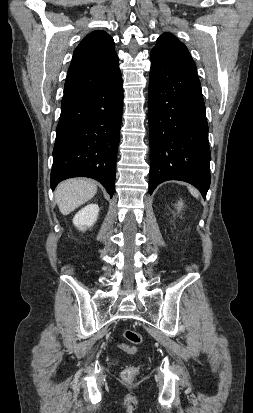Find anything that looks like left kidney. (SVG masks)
<instances>
[{
  "label": "left kidney",
  "instance_id": "left-kidney-1",
  "mask_svg": "<svg viewBox=\"0 0 253 413\" xmlns=\"http://www.w3.org/2000/svg\"><path fill=\"white\" fill-rule=\"evenodd\" d=\"M179 206H182V202H179V204H178Z\"/></svg>",
  "mask_w": 253,
  "mask_h": 413
}]
</instances>
